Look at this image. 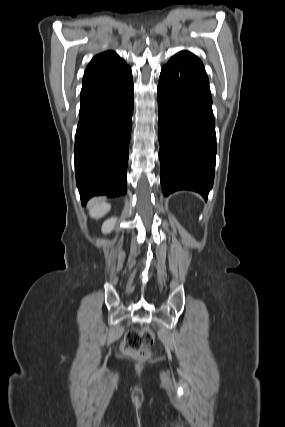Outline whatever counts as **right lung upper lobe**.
Wrapping results in <instances>:
<instances>
[{"instance_id":"obj_1","label":"right lung upper lobe","mask_w":285,"mask_h":427,"mask_svg":"<svg viewBox=\"0 0 285 427\" xmlns=\"http://www.w3.org/2000/svg\"><path fill=\"white\" fill-rule=\"evenodd\" d=\"M127 67L125 61L113 51H106L95 56L87 66L83 87L110 78Z\"/></svg>"}]
</instances>
